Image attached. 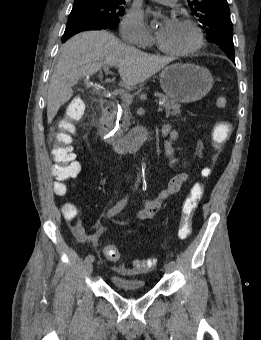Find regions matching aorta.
Listing matches in <instances>:
<instances>
[{
  "label": "aorta",
  "instance_id": "aorta-1",
  "mask_svg": "<svg viewBox=\"0 0 261 340\" xmlns=\"http://www.w3.org/2000/svg\"><path fill=\"white\" fill-rule=\"evenodd\" d=\"M140 183H141V175H140V173H139V174H137V178H136V181H135L134 189H133V190H137L138 187H139V185H140Z\"/></svg>",
  "mask_w": 261,
  "mask_h": 340
}]
</instances>
